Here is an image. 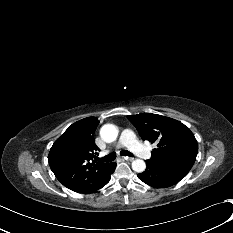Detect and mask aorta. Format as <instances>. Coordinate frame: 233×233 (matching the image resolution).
Listing matches in <instances>:
<instances>
[{"label": "aorta", "mask_w": 233, "mask_h": 233, "mask_svg": "<svg viewBox=\"0 0 233 233\" xmlns=\"http://www.w3.org/2000/svg\"><path fill=\"white\" fill-rule=\"evenodd\" d=\"M100 136L105 142L111 143L115 141L118 136V128L112 124L103 125L100 130ZM145 168L146 163L141 159H136L132 162V169L135 172L141 173L145 170Z\"/></svg>", "instance_id": "762f6f07"}]
</instances>
